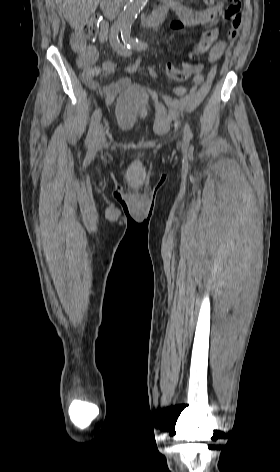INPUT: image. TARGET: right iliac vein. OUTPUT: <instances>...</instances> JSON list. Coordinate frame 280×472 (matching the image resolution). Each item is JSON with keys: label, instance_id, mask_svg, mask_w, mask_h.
Listing matches in <instances>:
<instances>
[{"label": "right iliac vein", "instance_id": "63e3f726", "mask_svg": "<svg viewBox=\"0 0 280 472\" xmlns=\"http://www.w3.org/2000/svg\"><path fill=\"white\" fill-rule=\"evenodd\" d=\"M105 142V131L103 125H99L97 129V134H96V141H95V146L96 148H100L103 143Z\"/></svg>", "mask_w": 280, "mask_h": 472}]
</instances>
